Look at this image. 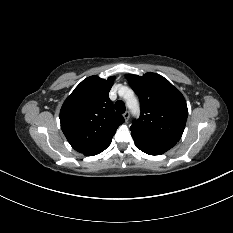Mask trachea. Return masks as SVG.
<instances>
[{
    "label": "trachea",
    "mask_w": 233,
    "mask_h": 233,
    "mask_svg": "<svg viewBox=\"0 0 233 233\" xmlns=\"http://www.w3.org/2000/svg\"><path fill=\"white\" fill-rule=\"evenodd\" d=\"M115 109L118 113H124L126 110L125 104L123 101L119 100L115 103Z\"/></svg>",
    "instance_id": "3493384b"
}]
</instances>
